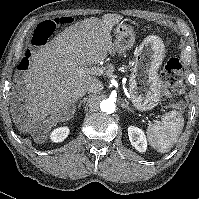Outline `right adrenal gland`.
I'll list each match as a JSON object with an SVG mask.
<instances>
[{"instance_id": "2a0ac1e0", "label": "right adrenal gland", "mask_w": 199, "mask_h": 199, "mask_svg": "<svg viewBox=\"0 0 199 199\" xmlns=\"http://www.w3.org/2000/svg\"><path fill=\"white\" fill-rule=\"evenodd\" d=\"M86 100H87V97H84V98L79 102V104H78L77 106L75 105V106L73 107V115L75 114V110H76L77 108H80L82 104H85Z\"/></svg>"}]
</instances>
